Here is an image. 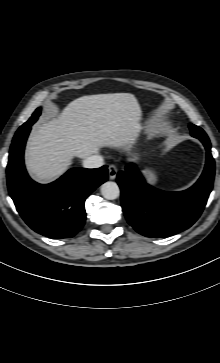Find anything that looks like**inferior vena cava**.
Segmentation results:
<instances>
[{"label": "inferior vena cava", "mask_w": 220, "mask_h": 363, "mask_svg": "<svg viewBox=\"0 0 220 363\" xmlns=\"http://www.w3.org/2000/svg\"><path fill=\"white\" fill-rule=\"evenodd\" d=\"M104 165V160L101 155H91L84 159L83 166L85 168H99Z\"/></svg>", "instance_id": "1"}]
</instances>
